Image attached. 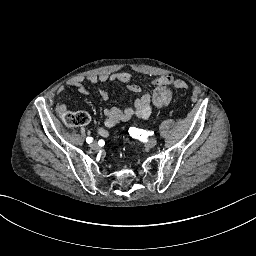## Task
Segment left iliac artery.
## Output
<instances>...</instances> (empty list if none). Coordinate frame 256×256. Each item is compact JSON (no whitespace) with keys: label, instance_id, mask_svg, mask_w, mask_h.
Masks as SVG:
<instances>
[{"label":"left iliac artery","instance_id":"obj_1","mask_svg":"<svg viewBox=\"0 0 256 256\" xmlns=\"http://www.w3.org/2000/svg\"><path fill=\"white\" fill-rule=\"evenodd\" d=\"M129 134L133 137V138H137V139H143L145 137H148L149 135H153L154 132L153 131H145L142 129H138L135 127H131L129 129Z\"/></svg>","mask_w":256,"mask_h":256}]
</instances>
